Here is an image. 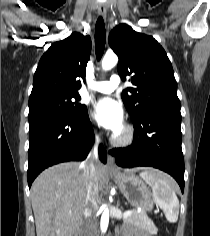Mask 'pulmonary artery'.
I'll use <instances>...</instances> for the list:
<instances>
[{
	"label": "pulmonary artery",
	"instance_id": "pulmonary-artery-1",
	"mask_svg": "<svg viewBox=\"0 0 210 236\" xmlns=\"http://www.w3.org/2000/svg\"><path fill=\"white\" fill-rule=\"evenodd\" d=\"M120 84H121L120 77L117 75H113L111 76L109 81L94 83L92 85V89L94 91L106 94L114 91Z\"/></svg>",
	"mask_w": 210,
	"mask_h": 236
}]
</instances>
